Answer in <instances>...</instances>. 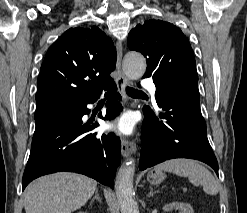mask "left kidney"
I'll list each match as a JSON object with an SVG mask.
<instances>
[{
	"label": "left kidney",
	"mask_w": 247,
	"mask_h": 213,
	"mask_svg": "<svg viewBox=\"0 0 247 213\" xmlns=\"http://www.w3.org/2000/svg\"><path fill=\"white\" fill-rule=\"evenodd\" d=\"M174 209L180 210V213H194V210L190 204L173 202L163 207L164 211H172Z\"/></svg>",
	"instance_id": "1"
}]
</instances>
